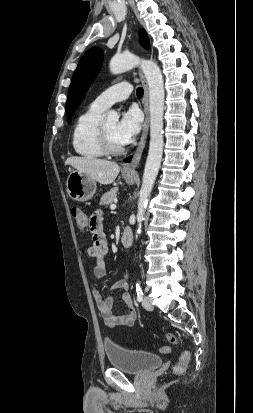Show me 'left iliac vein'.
Here are the masks:
<instances>
[{
  "label": "left iliac vein",
  "instance_id": "left-iliac-vein-1",
  "mask_svg": "<svg viewBox=\"0 0 253 413\" xmlns=\"http://www.w3.org/2000/svg\"><path fill=\"white\" fill-rule=\"evenodd\" d=\"M142 306L144 307V309L148 310V311H152L153 310V305L152 302L150 300L149 297H144L143 301H142Z\"/></svg>",
  "mask_w": 253,
  "mask_h": 413
}]
</instances>
